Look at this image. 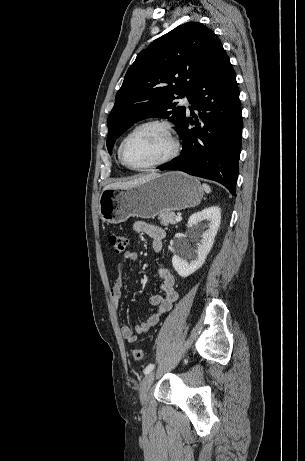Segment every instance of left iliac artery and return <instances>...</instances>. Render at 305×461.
Returning <instances> with one entry per match:
<instances>
[{"instance_id": "1", "label": "left iliac artery", "mask_w": 305, "mask_h": 461, "mask_svg": "<svg viewBox=\"0 0 305 461\" xmlns=\"http://www.w3.org/2000/svg\"><path fill=\"white\" fill-rule=\"evenodd\" d=\"M154 369V364H149L145 369H144V374L150 373Z\"/></svg>"}]
</instances>
